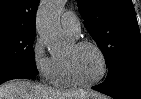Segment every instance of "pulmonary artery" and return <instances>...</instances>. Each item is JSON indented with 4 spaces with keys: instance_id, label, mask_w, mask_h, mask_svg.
<instances>
[{
    "instance_id": "e3ab8cb5",
    "label": "pulmonary artery",
    "mask_w": 141,
    "mask_h": 99,
    "mask_svg": "<svg viewBox=\"0 0 141 99\" xmlns=\"http://www.w3.org/2000/svg\"><path fill=\"white\" fill-rule=\"evenodd\" d=\"M61 26L66 32L74 36H78L80 33V22L73 12L67 11L62 15Z\"/></svg>"
}]
</instances>
